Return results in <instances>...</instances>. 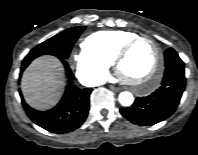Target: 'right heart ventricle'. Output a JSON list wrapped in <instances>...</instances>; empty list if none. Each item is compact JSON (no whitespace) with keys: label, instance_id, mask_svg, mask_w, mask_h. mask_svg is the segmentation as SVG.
<instances>
[{"label":"right heart ventricle","instance_id":"e07e8e85","mask_svg":"<svg viewBox=\"0 0 198 155\" xmlns=\"http://www.w3.org/2000/svg\"><path fill=\"white\" fill-rule=\"evenodd\" d=\"M136 36L137 33L126 30L99 31L86 37L82 47L110 65L121 46Z\"/></svg>","mask_w":198,"mask_h":155}]
</instances>
